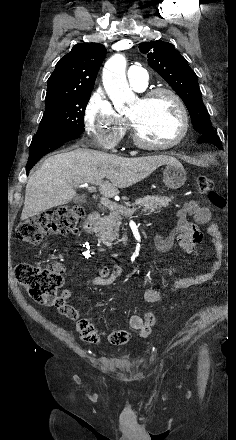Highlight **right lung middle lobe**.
I'll use <instances>...</instances> for the list:
<instances>
[{"instance_id": "dd1d6c3e", "label": "right lung middle lobe", "mask_w": 236, "mask_h": 440, "mask_svg": "<svg viewBox=\"0 0 236 440\" xmlns=\"http://www.w3.org/2000/svg\"><path fill=\"white\" fill-rule=\"evenodd\" d=\"M90 93L70 99L46 102L45 112L36 135H58L84 132V113Z\"/></svg>"}]
</instances>
